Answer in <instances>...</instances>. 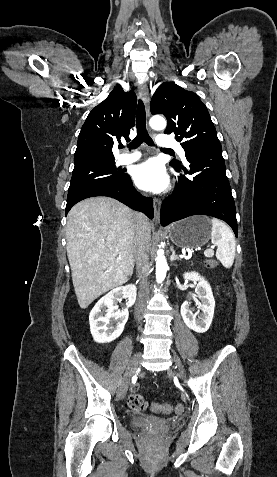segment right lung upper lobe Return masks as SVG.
Segmentation results:
<instances>
[{
	"mask_svg": "<svg viewBox=\"0 0 277 477\" xmlns=\"http://www.w3.org/2000/svg\"><path fill=\"white\" fill-rule=\"evenodd\" d=\"M137 98L133 91L116 87L109 96L94 107L83 124L74 155V167L90 163L114 161L113 143L128 140L135 124Z\"/></svg>",
	"mask_w": 277,
	"mask_h": 477,
	"instance_id": "1",
	"label": "right lung upper lobe"
}]
</instances>
